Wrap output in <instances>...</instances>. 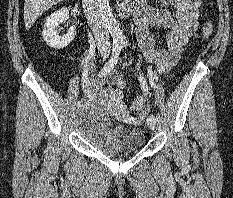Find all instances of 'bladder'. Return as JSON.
<instances>
[{"label":"bladder","mask_w":233,"mask_h":198,"mask_svg":"<svg viewBox=\"0 0 233 198\" xmlns=\"http://www.w3.org/2000/svg\"><path fill=\"white\" fill-rule=\"evenodd\" d=\"M78 130L102 154L118 158L139 152L145 143L140 127H112L105 109L98 104H86L80 110Z\"/></svg>","instance_id":"obj_1"}]
</instances>
